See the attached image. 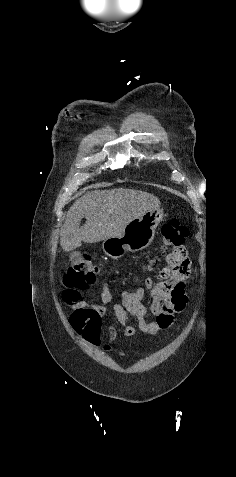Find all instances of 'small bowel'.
Listing matches in <instances>:
<instances>
[{
  "label": "small bowel",
  "instance_id": "small-bowel-1",
  "mask_svg": "<svg viewBox=\"0 0 236 477\" xmlns=\"http://www.w3.org/2000/svg\"><path fill=\"white\" fill-rule=\"evenodd\" d=\"M183 275L168 282L171 287L166 290L160 281L155 283L152 278L144 280V287L124 290L120 294V303H112L113 295L107 282L101 285L100 304H91L84 301H75L68 291L63 293V301L69 305L72 312L69 324L75 334L92 345H101V320L107 312V305L112 303L111 311L116 323L123 329L124 334L131 337L139 329L146 335H155L169 330L176 315L186 308L188 297L185 290V280L190 271V262L186 257L180 267ZM145 289L150 292L151 303H143ZM148 317H153L149 321ZM114 337V330L107 335L103 350H111L110 341Z\"/></svg>",
  "mask_w": 236,
  "mask_h": 477
}]
</instances>
